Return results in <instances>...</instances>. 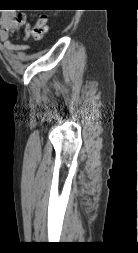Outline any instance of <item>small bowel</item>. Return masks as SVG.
<instances>
[{
	"label": "small bowel",
	"mask_w": 138,
	"mask_h": 253,
	"mask_svg": "<svg viewBox=\"0 0 138 253\" xmlns=\"http://www.w3.org/2000/svg\"><path fill=\"white\" fill-rule=\"evenodd\" d=\"M23 34L19 36L20 31ZM30 24L27 22L25 13L15 11H4L0 17V40L6 48L13 51H25L30 47L26 44H15L14 36L20 37L22 40H27L30 36Z\"/></svg>",
	"instance_id": "obj_1"
}]
</instances>
